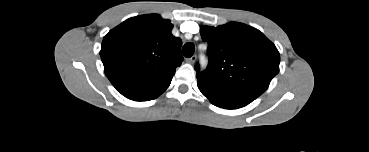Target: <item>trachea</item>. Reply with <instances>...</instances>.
Listing matches in <instances>:
<instances>
[{"label": "trachea", "mask_w": 369, "mask_h": 152, "mask_svg": "<svg viewBox=\"0 0 369 152\" xmlns=\"http://www.w3.org/2000/svg\"><path fill=\"white\" fill-rule=\"evenodd\" d=\"M194 50H195V46L193 43L191 42H188L186 43L183 48H182V52H183V55L187 58H190L193 53H194Z\"/></svg>", "instance_id": "3493384b"}]
</instances>
